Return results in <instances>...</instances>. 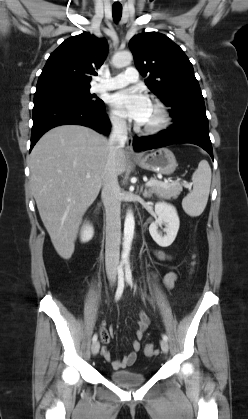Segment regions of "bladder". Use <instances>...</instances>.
<instances>
[{
	"label": "bladder",
	"mask_w": 248,
	"mask_h": 419,
	"mask_svg": "<svg viewBox=\"0 0 248 419\" xmlns=\"http://www.w3.org/2000/svg\"><path fill=\"white\" fill-rule=\"evenodd\" d=\"M108 376L113 383L126 388L141 386L146 381L144 374L132 370L110 371Z\"/></svg>",
	"instance_id": "obj_1"
}]
</instances>
